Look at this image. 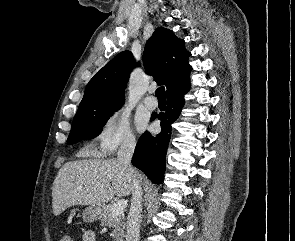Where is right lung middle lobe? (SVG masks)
Returning <instances> with one entry per match:
<instances>
[{
    "label": "right lung middle lobe",
    "mask_w": 295,
    "mask_h": 241,
    "mask_svg": "<svg viewBox=\"0 0 295 241\" xmlns=\"http://www.w3.org/2000/svg\"><path fill=\"white\" fill-rule=\"evenodd\" d=\"M123 101H114L102 105L78 108L74 117L68 144H75L83 139H92L98 136L107 120L119 110Z\"/></svg>",
    "instance_id": "dd1d6c3e"
}]
</instances>
